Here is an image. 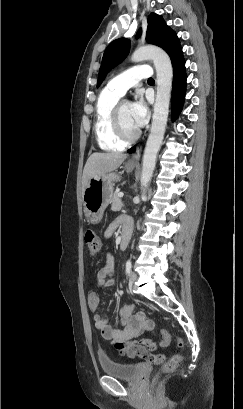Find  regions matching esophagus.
<instances>
[{
  "mask_svg": "<svg viewBox=\"0 0 243 409\" xmlns=\"http://www.w3.org/2000/svg\"><path fill=\"white\" fill-rule=\"evenodd\" d=\"M141 155V147L136 150V152L129 159L130 163H138Z\"/></svg>",
  "mask_w": 243,
  "mask_h": 409,
  "instance_id": "esophagus-1",
  "label": "esophagus"
}]
</instances>
